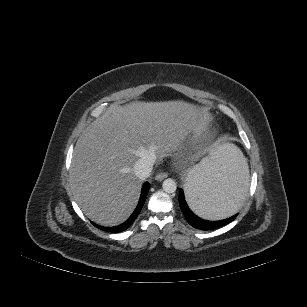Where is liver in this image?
<instances>
[{"label": "liver", "mask_w": 307, "mask_h": 307, "mask_svg": "<svg viewBox=\"0 0 307 307\" xmlns=\"http://www.w3.org/2000/svg\"><path fill=\"white\" fill-rule=\"evenodd\" d=\"M209 121L204 109L183 101H136L108 110L75 146L70 183L76 202L100 225L124 222L142 186L133 171L135 162L148 154L158 159L181 155Z\"/></svg>", "instance_id": "liver-1"}]
</instances>
